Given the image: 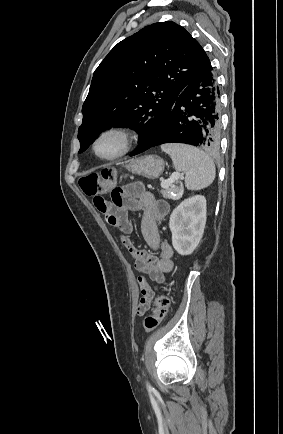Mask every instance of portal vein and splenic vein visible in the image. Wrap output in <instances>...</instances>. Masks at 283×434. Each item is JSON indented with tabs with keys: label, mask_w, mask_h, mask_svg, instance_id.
I'll list each match as a JSON object with an SVG mask.
<instances>
[{
	"label": "portal vein and splenic vein",
	"mask_w": 283,
	"mask_h": 434,
	"mask_svg": "<svg viewBox=\"0 0 283 434\" xmlns=\"http://www.w3.org/2000/svg\"><path fill=\"white\" fill-rule=\"evenodd\" d=\"M180 174L178 173H174L171 175V177L167 180H162L161 181V186L163 188L168 187L170 184H172L173 182L177 181L180 178Z\"/></svg>",
	"instance_id": "1"
}]
</instances>
